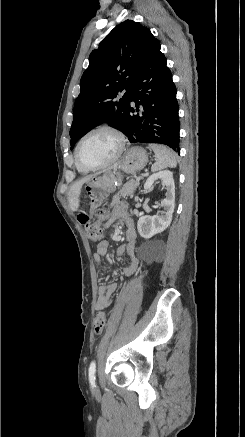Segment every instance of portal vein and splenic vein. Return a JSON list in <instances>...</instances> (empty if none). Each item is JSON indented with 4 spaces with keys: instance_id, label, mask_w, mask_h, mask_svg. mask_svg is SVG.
I'll list each match as a JSON object with an SVG mask.
<instances>
[{
    "instance_id": "portal-vein-and-splenic-vein-1",
    "label": "portal vein and splenic vein",
    "mask_w": 245,
    "mask_h": 437,
    "mask_svg": "<svg viewBox=\"0 0 245 437\" xmlns=\"http://www.w3.org/2000/svg\"><path fill=\"white\" fill-rule=\"evenodd\" d=\"M140 179H141V177H140V176H138V177L136 178V180H137V181H139Z\"/></svg>"
}]
</instances>
